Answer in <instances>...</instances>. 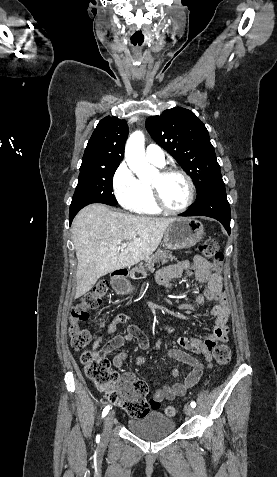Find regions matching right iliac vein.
<instances>
[{"instance_id": "1", "label": "right iliac vein", "mask_w": 277, "mask_h": 477, "mask_svg": "<svg viewBox=\"0 0 277 477\" xmlns=\"http://www.w3.org/2000/svg\"><path fill=\"white\" fill-rule=\"evenodd\" d=\"M114 417H115V412L111 411L107 414V416L105 418L104 432H103V437H102L103 442L107 441L108 438H109V434H110V431H111V428H112V425H113V422H114Z\"/></svg>"}]
</instances>
